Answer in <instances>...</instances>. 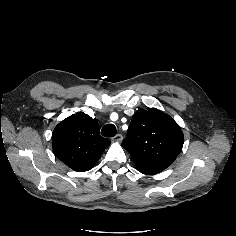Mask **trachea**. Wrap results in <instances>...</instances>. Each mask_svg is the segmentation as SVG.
I'll return each instance as SVG.
<instances>
[{
  "mask_svg": "<svg viewBox=\"0 0 236 236\" xmlns=\"http://www.w3.org/2000/svg\"><path fill=\"white\" fill-rule=\"evenodd\" d=\"M101 134L104 137H113L116 135V127L113 124H106L102 130H101Z\"/></svg>",
  "mask_w": 236,
  "mask_h": 236,
  "instance_id": "3493384b",
  "label": "trachea"
}]
</instances>
